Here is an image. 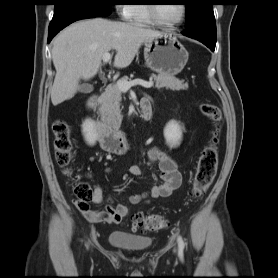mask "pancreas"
<instances>
[{
    "label": "pancreas",
    "mask_w": 278,
    "mask_h": 278,
    "mask_svg": "<svg viewBox=\"0 0 278 278\" xmlns=\"http://www.w3.org/2000/svg\"><path fill=\"white\" fill-rule=\"evenodd\" d=\"M151 77L155 80V87L157 89L165 87L166 89H171L173 91H180L188 88V84L184 83V80H179L172 75L158 74L152 75ZM121 80L128 81L129 79L128 77H123ZM121 94L122 91L117 85L108 86L102 94L100 113L106 122L114 126L117 125L115 120H118V124H120L122 120L120 109V102L122 100Z\"/></svg>",
    "instance_id": "obj_1"
}]
</instances>
